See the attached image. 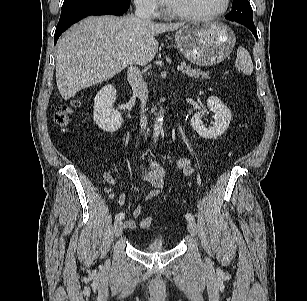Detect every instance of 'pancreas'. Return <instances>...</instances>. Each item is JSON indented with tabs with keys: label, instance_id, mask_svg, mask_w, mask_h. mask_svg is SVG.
<instances>
[{
	"label": "pancreas",
	"instance_id": "cf45deb5",
	"mask_svg": "<svg viewBox=\"0 0 307 301\" xmlns=\"http://www.w3.org/2000/svg\"><path fill=\"white\" fill-rule=\"evenodd\" d=\"M183 74H186L189 77H193L197 79L199 77H201L202 79L210 78L209 72H204L200 68H193L191 65H188L186 67V69L183 71Z\"/></svg>",
	"mask_w": 307,
	"mask_h": 301
}]
</instances>
